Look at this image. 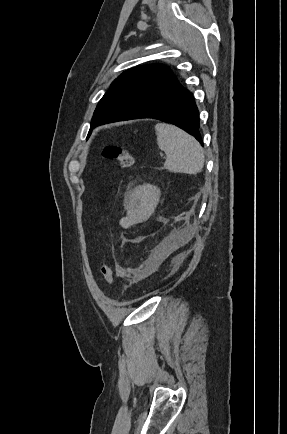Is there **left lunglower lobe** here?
<instances>
[{
  "mask_svg": "<svg viewBox=\"0 0 287 434\" xmlns=\"http://www.w3.org/2000/svg\"><path fill=\"white\" fill-rule=\"evenodd\" d=\"M153 118L176 125L203 145L199 113L192 94L180 87L162 100L137 111L130 119Z\"/></svg>",
  "mask_w": 287,
  "mask_h": 434,
  "instance_id": "0a47b994",
  "label": "left lung lower lobe"
}]
</instances>
